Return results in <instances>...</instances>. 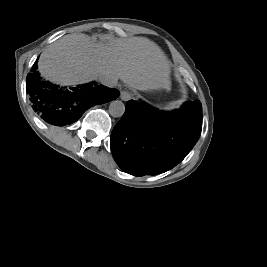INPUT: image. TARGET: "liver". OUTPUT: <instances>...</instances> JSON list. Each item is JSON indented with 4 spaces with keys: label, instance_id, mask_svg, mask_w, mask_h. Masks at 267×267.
I'll use <instances>...</instances> for the list:
<instances>
[{
    "label": "liver",
    "instance_id": "6515ba94",
    "mask_svg": "<svg viewBox=\"0 0 267 267\" xmlns=\"http://www.w3.org/2000/svg\"><path fill=\"white\" fill-rule=\"evenodd\" d=\"M41 75L61 85H76L110 74L140 91L160 90L170 84V65L153 41L144 37L95 43L86 34H68L40 55Z\"/></svg>",
    "mask_w": 267,
    "mask_h": 267
}]
</instances>
